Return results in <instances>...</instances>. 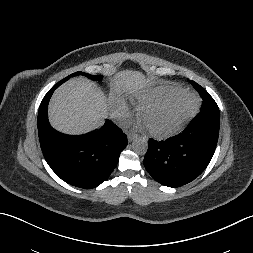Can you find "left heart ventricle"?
Here are the masks:
<instances>
[{
  "instance_id": "obj_1",
  "label": "left heart ventricle",
  "mask_w": 253,
  "mask_h": 253,
  "mask_svg": "<svg viewBox=\"0 0 253 253\" xmlns=\"http://www.w3.org/2000/svg\"><path fill=\"white\" fill-rule=\"evenodd\" d=\"M189 100L181 97L173 103L148 113L144 124L150 129L164 131L173 127L189 106Z\"/></svg>"
}]
</instances>
